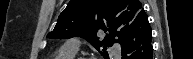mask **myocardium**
Listing matches in <instances>:
<instances>
[{"label":"myocardium","mask_w":193,"mask_h":59,"mask_svg":"<svg viewBox=\"0 0 193 59\" xmlns=\"http://www.w3.org/2000/svg\"><path fill=\"white\" fill-rule=\"evenodd\" d=\"M73 59H91V58L80 56V57H76V58H73Z\"/></svg>","instance_id":"1"}]
</instances>
